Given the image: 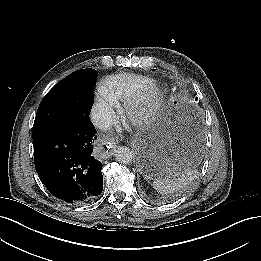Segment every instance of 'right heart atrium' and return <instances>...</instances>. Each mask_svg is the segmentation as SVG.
<instances>
[{
	"mask_svg": "<svg viewBox=\"0 0 261 261\" xmlns=\"http://www.w3.org/2000/svg\"><path fill=\"white\" fill-rule=\"evenodd\" d=\"M116 103L104 88L99 91L97 104L95 106L96 115L99 119L112 120L115 113Z\"/></svg>",
	"mask_w": 261,
	"mask_h": 261,
	"instance_id": "right-heart-atrium-1",
	"label": "right heart atrium"
}]
</instances>
